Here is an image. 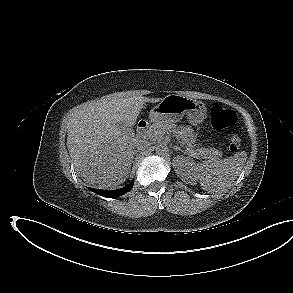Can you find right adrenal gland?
<instances>
[{
    "label": "right adrenal gland",
    "instance_id": "1",
    "mask_svg": "<svg viewBox=\"0 0 293 293\" xmlns=\"http://www.w3.org/2000/svg\"><path fill=\"white\" fill-rule=\"evenodd\" d=\"M133 159H134V156L132 157V161H131V163H133L134 161H133Z\"/></svg>",
    "mask_w": 293,
    "mask_h": 293
}]
</instances>
